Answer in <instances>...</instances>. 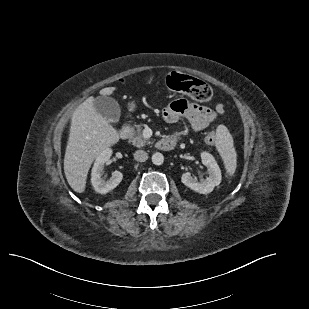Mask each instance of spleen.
I'll return each mask as SVG.
<instances>
[{
    "label": "spleen",
    "instance_id": "spleen-1",
    "mask_svg": "<svg viewBox=\"0 0 309 309\" xmlns=\"http://www.w3.org/2000/svg\"><path fill=\"white\" fill-rule=\"evenodd\" d=\"M216 148L223 160L226 171L233 176L237 167V154L233 145V138L224 125L216 130Z\"/></svg>",
    "mask_w": 309,
    "mask_h": 309
}]
</instances>
